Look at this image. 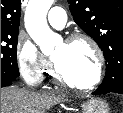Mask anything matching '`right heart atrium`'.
Here are the masks:
<instances>
[{
  "mask_svg": "<svg viewBox=\"0 0 123 113\" xmlns=\"http://www.w3.org/2000/svg\"><path fill=\"white\" fill-rule=\"evenodd\" d=\"M15 58L20 76L30 86L40 85L51 68L50 60L23 33L17 37Z\"/></svg>",
  "mask_w": 123,
  "mask_h": 113,
  "instance_id": "right-heart-atrium-1",
  "label": "right heart atrium"
}]
</instances>
